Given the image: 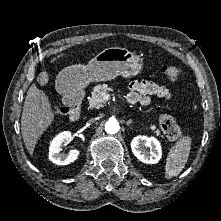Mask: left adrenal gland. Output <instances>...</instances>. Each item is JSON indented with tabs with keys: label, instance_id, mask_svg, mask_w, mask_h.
<instances>
[{
	"label": "left adrenal gland",
	"instance_id": "left-adrenal-gland-1",
	"mask_svg": "<svg viewBox=\"0 0 221 221\" xmlns=\"http://www.w3.org/2000/svg\"><path fill=\"white\" fill-rule=\"evenodd\" d=\"M132 123H133V120L130 119V120H128V121L126 122V125L129 126V125L132 124Z\"/></svg>",
	"mask_w": 221,
	"mask_h": 221
}]
</instances>
